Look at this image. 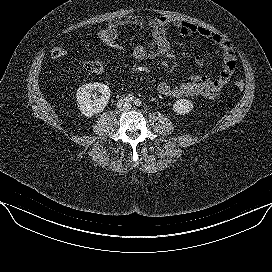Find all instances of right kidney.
<instances>
[{"label":"right kidney","mask_w":272,"mask_h":272,"mask_svg":"<svg viewBox=\"0 0 272 272\" xmlns=\"http://www.w3.org/2000/svg\"><path fill=\"white\" fill-rule=\"evenodd\" d=\"M92 91L100 92L101 96L92 99ZM76 97L81 113L86 117H91L104 110L110 99V89L102 83H88L77 90Z\"/></svg>","instance_id":"1"}]
</instances>
